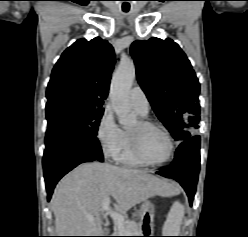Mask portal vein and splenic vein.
I'll use <instances>...</instances> for the list:
<instances>
[{
	"label": "portal vein and splenic vein",
	"mask_w": 248,
	"mask_h": 237,
	"mask_svg": "<svg viewBox=\"0 0 248 237\" xmlns=\"http://www.w3.org/2000/svg\"><path fill=\"white\" fill-rule=\"evenodd\" d=\"M110 201H111L110 197L105 198V200L102 204L101 210L105 211L107 214H109L111 216V218L114 220V222L117 224V226L120 228L124 224V217L121 214L111 210ZM87 218L90 221L94 220V217L91 215H87Z\"/></svg>",
	"instance_id": "1"
}]
</instances>
